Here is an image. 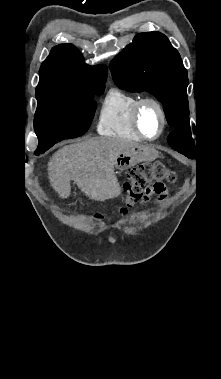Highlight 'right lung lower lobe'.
<instances>
[{
  "label": "right lung lower lobe",
  "mask_w": 221,
  "mask_h": 379,
  "mask_svg": "<svg viewBox=\"0 0 221 379\" xmlns=\"http://www.w3.org/2000/svg\"><path fill=\"white\" fill-rule=\"evenodd\" d=\"M47 149H37L35 154L39 155L40 153H44Z\"/></svg>",
  "instance_id": "obj_1"
}]
</instances>
